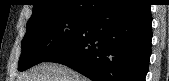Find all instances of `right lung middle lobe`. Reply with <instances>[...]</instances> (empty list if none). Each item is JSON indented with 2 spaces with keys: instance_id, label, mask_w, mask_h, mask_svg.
Instances as JSON below:
<instances>
[{
  "instance_id": "1",
  "label": "right lung middle lobe",
  "mask_w": 169,
  "mask_h": 81,
  "mask_svg": "<svg viewBox=\"0 0 169 81\" xmlns=\"http://www.w3.org/2000/svg\"><path fill=\"white\" fill-rule=\"evenodd\" d=\"M85 16H51L27 23L18 70L43 62L68 44L84 27Z\"/></svg>"
}]
</instances>
